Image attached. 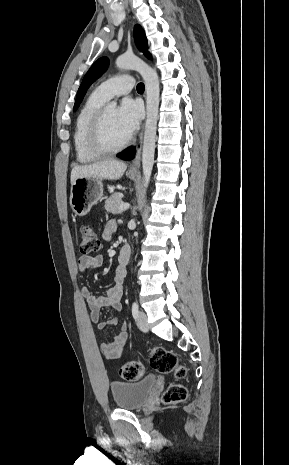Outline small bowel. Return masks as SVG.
Wrapping results in <instances>:
<instances>
[{"label": "small bowel", "instance_id": "1", "mask_svg": "<svg viewBox=\"0 0 289 465\" xmlns=\"http://www.w3.org/2000/svg\"><path fill=\"white\" fill-rule=\"evenodd\" d=\"M116 229L114 222H109L104 231L103 238L108 240L111 238ZM104 258L102 255L89 256L82 255L78 259V271L81 274H86L90 270L100 268L103 265ZM125 278V265L119 263L114 278L113 286L102 295H95L89 287L82 288V295L86 299L90 309V320L97 325L101 331L106 330L110 326L118 325L117 319L108 321H100V310L104 307H113L115 310H122L123 297V282ZM128 339L127 324L121 323L119 330L111 340H106L100 344V349L106 359L113 360L120 356L121 351Z\"/></svg>", "mask_w": 289, "mask_h": 465}]
</instances>
